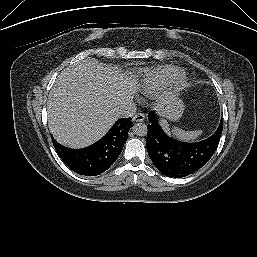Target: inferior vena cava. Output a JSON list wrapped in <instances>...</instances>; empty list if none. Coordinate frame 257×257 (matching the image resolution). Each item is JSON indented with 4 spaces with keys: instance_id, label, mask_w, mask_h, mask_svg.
<instances>
[{
    "instance_id": "obj_1",
    "label": "inferior vena cava",
    "mask_w": 257,
    "mask_h": 257,
    "mask_svg": "<svg viewBox=\"0 0 257 257\" xmlns=\"http://www.w3.org/2000/svg\"><path fill=\"white\" fill-rule=\"evenodd\" d=\"M116 113L121 118L132 117L136 113V105L132 100L126 101L117 109Z\"/></svg>"
}]
</instances>
